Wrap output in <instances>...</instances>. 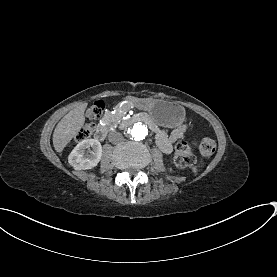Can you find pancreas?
<instances>
[{"label":"pancreas","mask_w":277,"mask_h":277,"mask_svg":"<svg viewBox=\"0 0 277 277\" xmlns=\"http://www.w3.org/2000/svg\"><path fill=\"white\" fill-rule=\"evenodd\" d=\"M131 107L128 102L122 101L117 104V107L111 108L104 114L103 120L106 125L112 126L122 117L130 114Z\"/></svg>","instance_id":"1"}]
</instances>
